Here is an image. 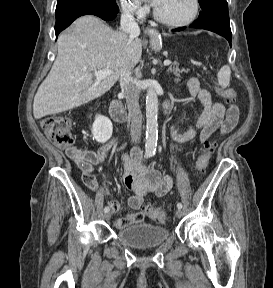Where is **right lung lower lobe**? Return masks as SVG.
Segmentation results:
<instances>
[{"mask_svg": "<svg viewBox=\"0 0 273 288\" xmlns=\"http://www.w3.org/2000/svg\"><path fill=\"white\" fill-rule=\"evenodd\" d=\"M83 15H95L102 18L103 20H113L117 16V13H106L95 9H78V10L64 11L56 15V24H55L56 38L63 29L68 27L75 19Z\"/></svg>", "mask_w": 273, "mask_h": 288, "instance_id": "obj_1", "label": "right lung lower lobe"}]
</instances>
